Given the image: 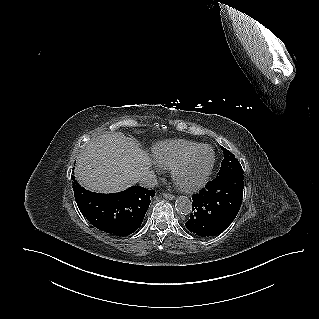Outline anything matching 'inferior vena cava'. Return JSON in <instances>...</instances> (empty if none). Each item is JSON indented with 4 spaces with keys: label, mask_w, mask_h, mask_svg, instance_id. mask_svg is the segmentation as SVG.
<instances>
[{
    "label": "inferior vena cava",
    "mask_w": 319,
    "mask_h": 319,
    "mask_svg": "<svg viewBox=\"0 0 319 319\" xmlns=\"http://www.w3.org/2000/svg\"><path fill=\"white\" fill-rule=\"evenodd\" d=\"M139 184L145 188H152L157 185V176L153 171L145 172L139 179Z\"/></svg>",
    "instance_id": "602c4592"
}]
</instances>
